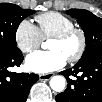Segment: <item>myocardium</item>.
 I'll use <instances>...</instances> for the list:
<instances>
[{
  "mask_svg": "<svg viewBox=\"0 0 102 102\" xmlns=\"http://www.w3.org/2000/svg\"><path fill=\"white\" fill-rule=\"evenodd\" d=\"M75 35L79 36L80 38V46L78 51L67 59L69 63H75L79 61L84 55V52L87 46V38H86L85 32L81 28L74 26L52 37V40L66 42Z\"/></svg>",
  "mask_w": 102,
  "mask_h": 102,
  "instance_id": "obj_1",
  "label": "myocardium"
}]
</instances>
